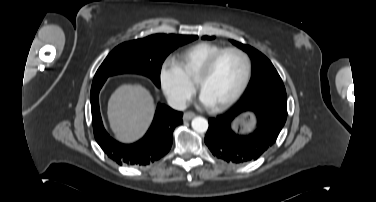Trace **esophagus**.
I'll return each mask as SVG.
<instances>
[{
    "label": "esophagus",
    "mask_w": 376,
    "mask_h": 202,
    "mask_svg": "<svg viewBox=\"0 0 376 202\" xmlns=\"http://www.w3.org/2000/svg\"><path fill=\"white\" fill-rule=\"evenodd\" d=\"M195 117V113L193 112H186L183 115V120L188 121Z\"/></svg>",
    "instance_id": "1"
}]
</instances>
